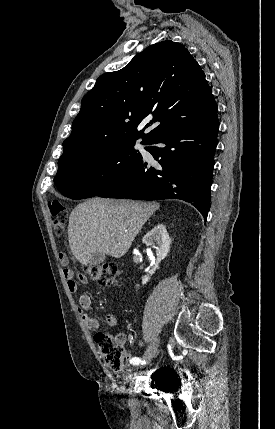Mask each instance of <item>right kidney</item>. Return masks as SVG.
Segmentation results:
<instances>
[{"instance_id": "obj_1", "label": "right kidney", "mask_w": 275, "mask_h": 429, "mask_svg": "<svg viewBox=\"0 0 275 429\" xmlns=\"http://www.w3.org/2000/svg\"><path fill=\"white\" fill-rule=\"evenodd\" d=\"M142 242L151 246L156 250L157 263L154 268L149 271L148 275L142 277V284H146L150 280L156 269L159 268V263L167 256L170 250V237L163 224H158L150 232H148L142 239Z\"/></svg>"}]
</instances>
